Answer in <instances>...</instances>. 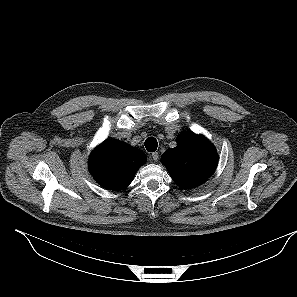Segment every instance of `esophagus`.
Instances as JSON below:
<instances>
[{"label":"esophagus","mask_w":297,"mask_h":297,"mask_svg":"<svg viewBox=\"0 0 297 297\" xmlns=\"http://www.w3.org/2000/svg\"><path fill=\"white\" fill-rule=\"evenodd\" d=\"M151 158H152L153 161H157V160L159 159V154H158V152H154V153H152Z\"/></svg>","instance_id":"1"}]
</instances>
